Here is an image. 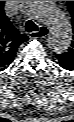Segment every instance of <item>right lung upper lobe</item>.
Masks as SVG:
<instances>
[{
    "instance_id": "1",
    "label": "right lung upper lobe",
    "mask_w": 74,
    "mask_h": 122,
    "mask_svg": "<svg viewBox=\"0 0 74 122\" xmlns=\"http://www.w3.org/2000/svg\"><path fill=\"white\" fill-rule=\"evenodd\" d=\"M4 2L0 1V71L13 61L19 45L28 40L10 22L4 13Z\"/></svg>"
}]
</instances>
